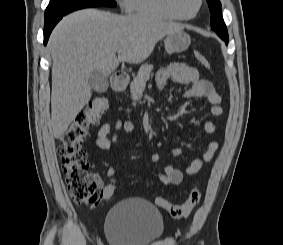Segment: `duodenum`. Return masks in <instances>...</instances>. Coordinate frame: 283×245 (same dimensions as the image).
<instances>
[{
	"label": "duodenum",
	"instance_id": "obj_1",
	"mask_svg": "<svg viewBox=\"0 0 283 245\" xmlns=\"http://www.w3.org/2000/svg\"><path fill=\"white\" fill-rule=\"evenodd\" d=\"M128 83V76L125 73L117 72L113 75L112 88L116 92L123 91Z\"/></svg>",
	"mask_w": 283,
	"mask_h": 245
}]
</instances>
